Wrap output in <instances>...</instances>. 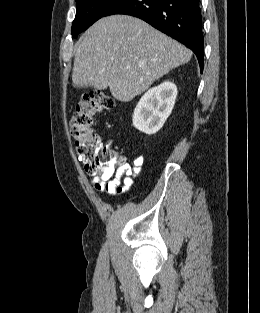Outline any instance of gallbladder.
I'll list each match as a JSON object with an SVG mask.
<instances>
[{"instance_id":"1","label":"gallbladder","mask_w":260,"mask_h":313,"mask_svg":"<svg viewBox=\"0 0 260 313\" xmlns=\"http://www.w3.org/2000/svg\"><path fill=\"white\" fill-rule=\"evenodd\" d=\"M74 87H76V88H86V87H88V86L79 85V84H74Z\"/></svg>"}]
</instances>
